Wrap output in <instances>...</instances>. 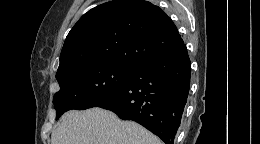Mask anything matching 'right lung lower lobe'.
Here are the masks:
<instances>
[{"label":"right lung lower lobe","mask_w":260,"mask_h":144,"mask_svg":"<svg viewBox=\"0 0 260 144\" xmlns=\"http://www.w3.org/2000/svg\"><path fill=\"white\" fill-rule=\"evenodd\" d=\"M191 63L185 44L135 65L114 94L95 107L133 120L173 144L190 87Z\"/></svg>","instance_id":"obj_1"}]
</instances>
